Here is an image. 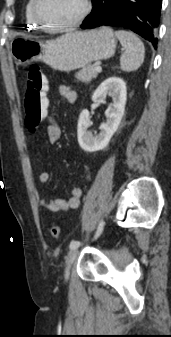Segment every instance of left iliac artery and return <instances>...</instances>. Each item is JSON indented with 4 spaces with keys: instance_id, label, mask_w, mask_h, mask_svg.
<instances>
[{
    "instance_id": "1",
    "label": "left iliac artery",
    "mask_w": 171,
    "mask_h": 337,
    "mask_svg": "<svg viewBox=\"0 0 171 337\" xmlns=\"http://www.w3.org/2000/svg\"><path fill=\"white\" fill-rule=\"evenodd\" d=\"M103 226H104V222L101 221V222L99 223V226H98L97 231H96V233H95L94 239H97V238L100 236V234H101L102 231H103ZM80 244H81L80 241L73 240V241H71V243H70V245H69V248H70V249H77V248L80 246Z\"/></svg>"
}]
</instances>
